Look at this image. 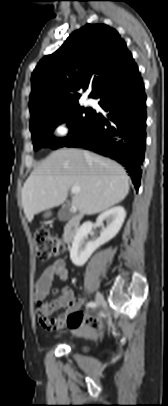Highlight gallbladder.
<instances>
[{
    "label": "gallbladder",
    "instance_id": "bac80fb5",
    "mask_svg": "<svg viewBox=\"0 0 168 406\" xmlns=\"http://www.w3.org/2000/svg\"><path fill=\"white\" fill-rule=\"evenodd\" d=\"M74 213L71 211V203L67 202L62 206V208L58 212V218L61 221L69 220Z\"/></svg>",
    "mask_w": 168,
    "mask_h": 406
}]
</instances>
